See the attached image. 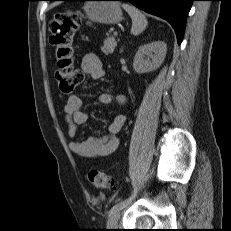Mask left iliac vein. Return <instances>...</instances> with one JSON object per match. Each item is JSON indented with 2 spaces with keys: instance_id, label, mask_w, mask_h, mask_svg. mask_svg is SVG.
I'll use <instances>...</instances> for the list:
<instances>
[{
  "instance_id": "4c4485c4",
  "label": "left iliac vein",
  "mask_w": 231,
  "mask_h": 231,
  "mask_svg": "<svg viewBox=\"0 0 231 231\" xmlns=\"http://www.w3.org/2000/svg\"><path fill=\"white\" fill-rule=\"evenodd\" d=\"M120 211H121V209L116 210L115 212H113L110 215V217L108 219V222H107V227L108 228H116L117 227L118 220L120 218Z\"/></svg>"
}]
</instances>
